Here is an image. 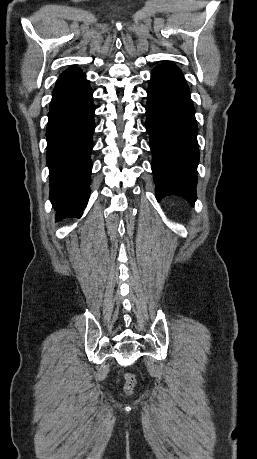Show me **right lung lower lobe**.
Instances as JSON below:
<instances>
[{
    "label": "right lung lower lobe",
    "mask_w": 257,
    "mask_h": 459,
    "mask_svg": "<svg viewBox=\"0 0 257 459\" xmlns=\"http://www.w3.org/2000/svg\"><path fill=\"white\" fill-rule=\"evenodd\" d=\"M85 74L59 78L49 107L47 165L57 220L80 217L89 197L94 104Z\"/></svg>",
    "instance_id": "1"
}]
</instances>
